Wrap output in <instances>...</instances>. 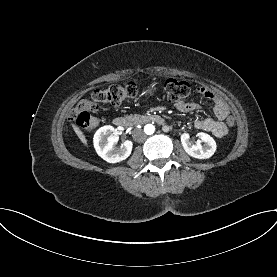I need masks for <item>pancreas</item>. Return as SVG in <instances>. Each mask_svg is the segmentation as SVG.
<instances>
[{
  "mask_svg": "<svg viewBox=\"0 0 277 277\" xmlns=\"http://www.w3.org/2000/svg\"><path fill=\"white\" fill-rule=\"evenodd\" d=\"M128 119L133 120L136 118V116H127Z\"/></svg>",
  "mask_w": 277,
  "mask_h": 277,
  "instance_id": "cf45deb5",
  "label": "pancreas"
}]
</instances>
